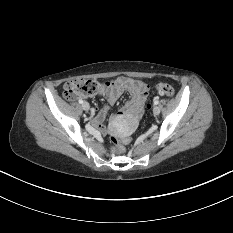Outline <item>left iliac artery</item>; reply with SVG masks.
Wrapping results in <instances>:
<instances>
[{"label": "left iliac artery", "mask_w": 233, "mask_h": 233, "mask_svg": "<svg viewBox=\"0 0 233 233\" xmlns=\"http://www.w3.org/2000/svg\"><path fill=\"white\" fill-rule=\"evenodd\" d=\"M158 103H159V101H158V100H155V101H154V104H155V105H157Z\"/></svg>", "instance_id": "obj_1"}]
</instances>
